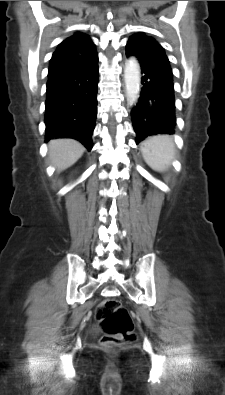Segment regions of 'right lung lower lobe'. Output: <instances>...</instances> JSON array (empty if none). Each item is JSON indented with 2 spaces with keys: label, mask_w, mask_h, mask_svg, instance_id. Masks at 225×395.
<instances>
[{
  "label": "right lung lower lobe",
  "mask_w": 225,
  "mask_h": 395,
  "mask_svg": "<svg viewBox=\"0 0 225 395\" xmlns=\"http://www.w3.org/2000/svg\"><path fill=\"white\" fill-rule=\"evenodd\" d=\"M98 58L90 65L49 76L45 102L46 141L73 138L89 151L97 116Z\"/></svg>",
  "instance_id": "right-lung-lower-lobe-1"
}]
</instances>
